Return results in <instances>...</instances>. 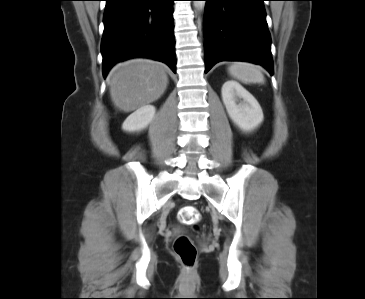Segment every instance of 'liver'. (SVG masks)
Here are the masks:
<instances>
[{
    "label": "liver",
    "mask_w": 365,
    "mask_h": 299,
    "mask_svg": "<svg viewBox=\"0 0 365 299\" xmlns=\"http://www.w3.org/2000/svg\"><path fill=\"white\" fill-rule=\"evenodd\" d=\"M108 84L114 106L131 112L164 94L168 85L167 67L147 59L126 61L111 70Z\"/></svg>",
    "instance_id": "obj_1"
}]
</instances>
